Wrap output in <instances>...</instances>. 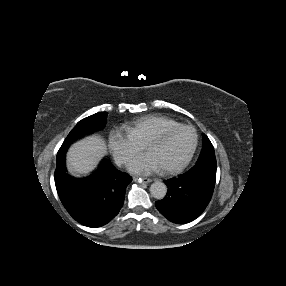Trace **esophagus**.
Wrapping results in <instances>:
<instances>
[{"label": "esophagus", "instance_id": "1", "mask_svg": "<svg viewBox=\"0 0 286 286\" xmlns=\"http://www.w3.org/2000/svg\"><path fill=\"white\" fill-rule=\"evenodd\" d=\"M134 181H138L139 183H145V184H147V183H150V182H152V179H150V178H147V177H142V178H134Z\"/></svg>", "mask_w": 286, "mask_h": 286}]
</instances>
